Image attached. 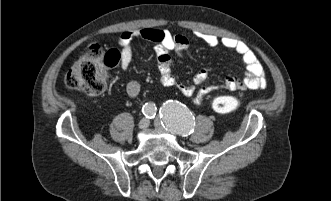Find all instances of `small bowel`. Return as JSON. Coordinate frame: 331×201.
<instances>
[{"label":"small bowel","mask_w":331,"mask_h":201,"mask_svg":"<svg viewBox=\"0 0 331 201\" xmlns=\"http://www.w3.org/2000/svg\"><path fill=\"white\" fill-rule=\"evenodd\" d=\"M196 36L210 47L224 46L234 50L240 55L242 63L246 68V74L243 78L233 75L225 76L220 85H205L209 69H201L194 77L193 83L183 84L172 71V59L170 51L183 52L188 47V39L180 34H174L168 30L142 28L137 30L123 32L119 39L120 46L119 62L123 70H127L132 61V45L137 39H143L155 44V52L158 56L160 69L159 82L166 87H175L185 96L195 95L194 102L200 104L210 92L223 88L229 91L239 89H262L267 85V79L262 64L255 53L242 41L229 38L218 37L209 33H196ZM198 87H200L198 89ZM141 91L140 83L136 80H130L126 84V92L129 97L136 98Z\"/></svg>","instance_id":"1"}]
</instances>
